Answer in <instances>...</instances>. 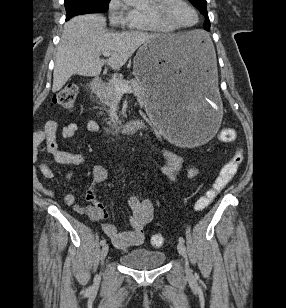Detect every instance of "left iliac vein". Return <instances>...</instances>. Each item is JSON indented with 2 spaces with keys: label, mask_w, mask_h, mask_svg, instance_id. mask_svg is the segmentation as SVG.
Wrapping results in <instances>:
<instances>
[{
  "label": "left iliac vein",
  "mask_w": 286,
  "mask_h": 308,
  "mask_svg": "<svg viewBox=\"0 0 286 308\" xmlns=\"http://www.w3.org/2000/svg\"><path fill=\"white\" fill-rule=\"evenodd\" d=\"M177 249L179 254L185 259L186 261V271L187 273H190V268L188 265V261H187V250H186V246L184 245V243L179 242L177 245Z\"/></svg>",
  "instance_id": "left-iliac-vein-1"
}]
</instances>
